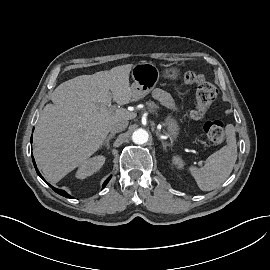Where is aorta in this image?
<instances>
[{
	"instance_id": "762f6f07",
	"label": "aorta",
	"mask_w": 270,
	"mask_h": 270,
	"mask_svg": "<svg viewBox=\"0 0 270 270\" xmlns=\"http://www.w3.org/2000/svg\"><path fill=\"white\" fill-rule=\"evenodd\" d=\"M148 132L144 129H137L133 132L132 140L135 144H144L148 141Z\"/></svg>"
}]
</instances>
